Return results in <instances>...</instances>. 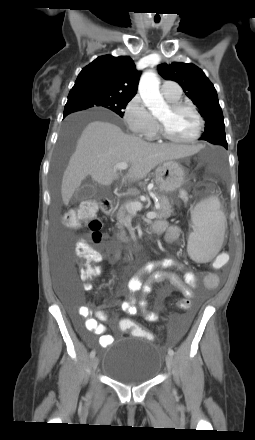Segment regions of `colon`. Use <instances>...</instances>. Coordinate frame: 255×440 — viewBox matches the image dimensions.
<instances>
[{
    "mask_svg": "<svg viewBox=\"0 0 255 440\" xmlns=\"http://www.w3.org/2000/svg\"><path fill=\"white\" fill-rule=\"evenodd\" d=\"M96 211L97 205L95 202L84 201L77 208L66 212L63 216V222L66 226L71 228H87L91 233V240L94 243H100L104 237L100 231L102 225L97 218ZM76 252L84 264V271L82 273L83 279L89 280L96 276L100 272V267L98 266L101 260L100 253L84 240H80L77 243ZM213 275L215 274H209L206 277V282H208ZM175 303L179 311H189L192 308L189 298H176ZM120 328L123 331H129L134 336L149 340L152 339L151 334L130 318H123L120 321Z\"/></svg>",
    "mask_w": 255,
    "mask_h": 440,
    "instance_id": "obj_1",
    "label": "colon"
}]
</instances>
